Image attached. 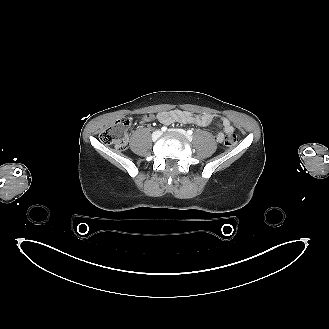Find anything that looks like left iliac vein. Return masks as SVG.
Segmentation results:
<instances>
[{
    "label": "left iliac vein",
    "instance_id": "left-iliac-vein-1",
    "mask_svg": "<svg viewBox=\"0 0 329 329\" xmlns=\"http://www.w3.org/2000/svg\"><path fill=\"white\" fill-rule=\"evenodd\" d=\"M176 131H177L178 133H180V134L186 136L187 138H189V136L187 135V133H186L183 129H178V130H176Z\"/></svg>",
    "mask_w": 329,
    "mask_h": 329
}]
</instances>
